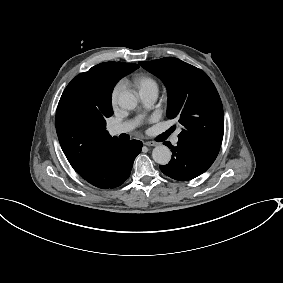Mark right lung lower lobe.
<instances>
[{
  "label": "right lung lower lobe",
  "mask_w": 283,
  "mask_h": 283,
  "mask_svg": "<svg viewBox=\"0 0 283 283\" xmlns=\"http://www.w3.org/2000/svg\"><path fill=\"white\" fill-rule=\"evenodd\" d=\"M141 149V141H121L96 158L86 170L79 174L98 188L118 187L130 176L134 159Z\"/></svg>",
  "instance_id": "98d812e1"
}]
</instances>
